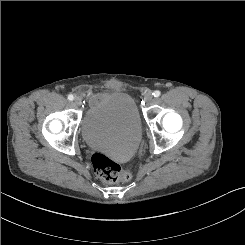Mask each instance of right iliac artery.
Masks as SVG:
<instances>
[{
    "label": "right iliac artery",
    "mask_w": 245,
    "mask_h": 245,
    "mask_svg": "<svg viewBox=\"0 0 245 245\" xmlns=\"http://www.w3.org/2000/svg\"><path fill=\"white\" fill-rule=\"evenodd\" d=\"M68 99L72 101L74 99V96L72 94L68 95Z\"/></svg>",
    "instance_id": "1"
}]
</instances>
